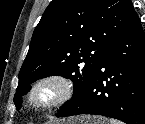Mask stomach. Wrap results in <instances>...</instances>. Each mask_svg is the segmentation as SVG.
Segmentation results:
<instances>
[{"label": "stomach", "mask_w": 145, "mask_h": 124, "mask_svg": "<svg viewBox=\"0 0 145 124\" xmlns=\"http://www.w3.org/2000/svg\"><path fill=\"white\" fill-rule=\"evenodd\" d=\"M56 124H107L101 117L82 116L59 120Z\"/></svg>", "instance_id": "1"}]
</instances>
